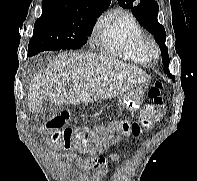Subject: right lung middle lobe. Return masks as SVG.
<instances>
[{"mask_svg": "<svg viewBox=\"0 0 197 181\" xmlns=\"http://www.w3.org/2000/svg\"><path fill=\"white\" fill-rule=\"evenodd\" d=\"M100 14L61 16L44 13L36 20L34 33L28 45V55L42 51L79 49L91 35Z\"/></svg>", "mask_w": 197, "mask_h": 181, "instance_id": "dd1d6c3e", "label": "right lung middle lobe"}]
</instances>
